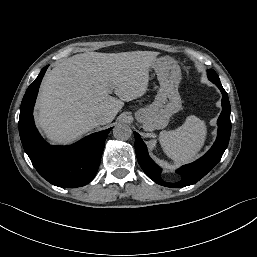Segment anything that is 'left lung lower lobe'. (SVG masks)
Instances as JSON below:
<instances>
[{"label":"left lung lower lobe","instance_id":"1","mask_svg":"<svg viewBox=\"0 0 257 257\" xmlns=\"http://www.w3.org/2000/svg\"><path fill=\"white\" fill-rule=\"evenodd\" d=\"M222 92V112L218 119V136L212 148L199 160L182 166L177 173L182 175V180L177 183L164 182L160 177V168L151 160L147 153L146 145L143 143L140 135H135V151L138 162L146 175L159 185L166 187H185L192 185L204 177L221 159L225 149L228 146L231 121H230V103L228 95L221 84L217 85Z\"/></svg>","mask_w":257,"mask_h":257}]
</instances>
